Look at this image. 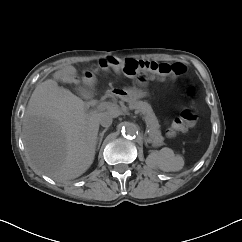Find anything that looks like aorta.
<instances>
[{"label": "aorta", "mask_w": 242, "mask_h": 242, "mask_svg": "<svg viewBox=\"0 0 242 242\" xmlns=\"http://www.w3.org/2000/svg\"><path fill=\"white\" fill-rule=\"evenodd\" d=\"M123 132L130 136H135L138 134V127L136 124L131 122H126L123 126Z\"/></svg>", "instance_id": "1"}]
</instances>
